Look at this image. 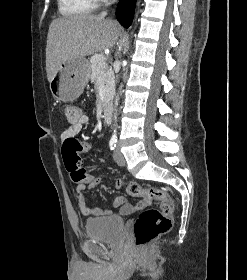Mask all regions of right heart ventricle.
<instances>
[{"instance_id":"right-heart-ventricle-1","label":"right heart ventricle","mask_w":247,"mask_h":280,"mask_svg":"<svg viewBox=\"0 0 247 280\" xmlns=\"http://www.w3.org/2000/svg\"><path fill=\"white\" fill-rule=\"evenodd\" d=\"M96 0H58L59 12L63 16L83 15L95 8Z\"/></svg>"}]
</instances>
